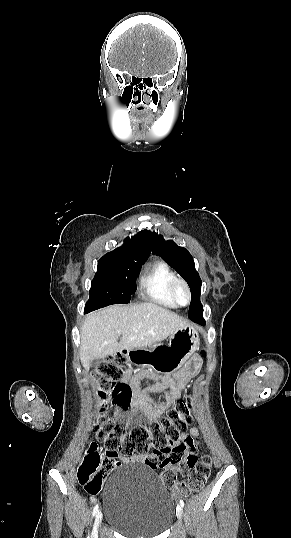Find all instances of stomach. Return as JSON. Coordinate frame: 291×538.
Here are the masks:
<instances>
[{"label": "stomach", "instance_id": "1", "mask_svg": "<svg viewBox=\"0 0 291 538\" xmlns=\"http://www.w3.org/2000/svg\"><path fill=\"white\" fill-rule=\"evenodd\" d=\"M199 346L198 330L194 326L181 328L170 337L168 346L128 350L127 361L134 366H150L161 376H172L179 363H187V356Z\"/></svg>", "mask_w": 291, "mask_h": 538}]
</instances>
